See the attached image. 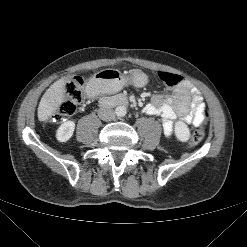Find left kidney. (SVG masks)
<instances>
[{
	"mask_svg": "<svg viewBox=\"0 0 247 247\" xmlns=\"http://www.w3.org/2000/svg\"><path fill=\"white\" fill-rule=\"evenodd\" d=\"M174 132L176 138L181 142H186L190 138V130L188 126L182 121L175 122Z\"/></svg>",
	"mask_w": 247,
	"mask_h": 247,
	"instance_id": "left-kidney-1",
	"label": "left kidney"
}]
</instances>
